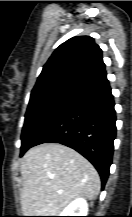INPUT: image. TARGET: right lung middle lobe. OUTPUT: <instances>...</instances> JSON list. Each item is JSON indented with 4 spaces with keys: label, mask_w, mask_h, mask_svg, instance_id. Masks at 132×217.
<instances>
[{
    "label": "right lung middle lobe",
    "mask_w": 132,
    "mask_h": 217,
    "mask_svg": "<svg viewBox=\"0 0 132 217\" xmlns=\"http://www.w3.org/2000/svg\"><path fill=\"white\" fill-rule=\"evenodd\" d=\"M78 95L67 91H54L30 97L22 130V156L52 124L62 110Z\"/></svg>",
    "instance_id": "obj_1"
}]
</instances>
